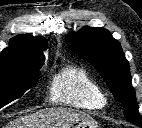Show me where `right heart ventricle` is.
Here are the masks:
<instances>
[{
  "label": "right heart ventricle",
  "instance_id": "obj_1",
  "mask_svg": "<svg viewBox=\"0 0 142 128\" xmlns=\"http://www.w3.org/2000/svg\"><path fill=\"white\" fill-rule=\"evenodd\" d=\"M50 99L56 104L90 110L102 109L107 103L98 82L85 68L75 65L64 66L54 74Z\"/></svg>",
  "mask_w": 142,
  "mask_h": 128
}]
</instances>
